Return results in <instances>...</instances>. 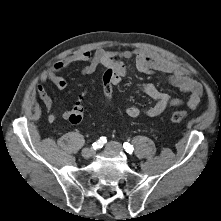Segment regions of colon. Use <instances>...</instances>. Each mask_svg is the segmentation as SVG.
Segmentation results:
<instances>
[{"mask_svg":"<svg viewBox=\"0 0 221 221\" xmlns=\"http://www.w3.org/2000/svg\"><path fill=\"white\" fill-rule=\"evenodd\" d=\"M103 77L100 79V86L102 87V94L104 99V106L103 109L106 112H109L113 108V99H114V92H113V76L114 71L112 67L105 66L102 69ZM84 115V107L81 102H78L72 108V111L69 115V121L72 123H79L81 122ZM187 118V113L185 111H175L170 115V120L174 123H179L184 121Z\"/></svg>","mask_w":221,"mask_h":221,"instance_id":"1","label":"colon"}]
</instances>
